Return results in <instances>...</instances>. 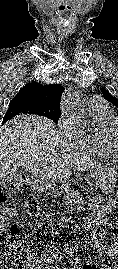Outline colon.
Masks as SVG:
<instances>
[{"label": "colon", "instance_id": "obj_1", "mask_svg": "<svg viewBox=\"0 0 118 269\" xmlns=\"http://www.w3.org/2000/svg\"><path fill=\"white\" fill-rule=\"evenodd\" d=\"M21 183V180H14L8 184L1 185L0 204L6 202L13 190L20 186ZM26 206L32 213L38 210V204L34 198L28 199ZM18 231L19 226H13V235L10 239L6 240L4 253L0 256V269H19L22 268V265L24 264L28 265V262L31 259V246L25 238L19 236Z\"/></svg>", "mask_w": 118, "mask_h": 269}]
</instances>
